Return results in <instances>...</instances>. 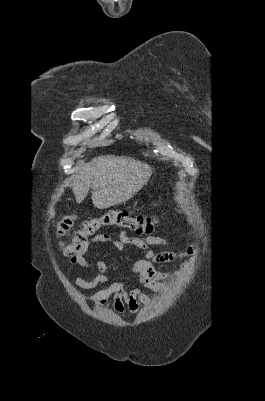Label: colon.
<instances>
[{"mask_svg": "<svg viewBox=\"0 0 265 401\" xmlns=\"http://www.w3.org/2000/svg\"><path fill=\"white\" fill-rule=\"evenodd\" d=\"M75 218V215H65L56 225L55 233L59 239V246L66 256H73L83 250L89 237L104 226L116 225L127 228L136 234H150L160 221L159 216H130L127 211L110 210L100 217L85 221L82 228L75 234L72 243L66 244L60 239L71 229Z\"/></svg>", "mask_w": 265, "mask_h": 401, "instance_id": "colon-1", "label": "colon"}]
</instances>
